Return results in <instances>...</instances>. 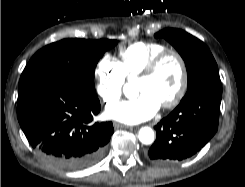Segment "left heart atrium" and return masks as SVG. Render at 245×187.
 I'll use <instances>...</instances> for the list:
<instances>
[{
    "label": "left heart atrium",
    "mask_w": 245,
    "mask_h": 187,
    "mask_svg": "<svg viewBox=\"0 0 245 187\" xmlns=\"http://www.w3.org/2000/svg\"><path fill=\"white\" fill-rule=\"evenodd\" d=\"M161 104L148 92H142L132 100L111 105L106 116L127 124H137L152 118Z\"/></svg>",
    "instance_id": "1"
}]
</instances>
